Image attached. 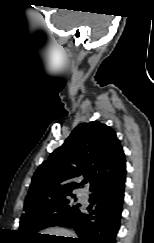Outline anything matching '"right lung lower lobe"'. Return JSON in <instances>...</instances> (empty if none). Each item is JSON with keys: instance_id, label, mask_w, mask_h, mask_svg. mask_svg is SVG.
Masks as SVG:
<instances>
[{"instance_id": "obj_1", "label": "right lung lower lobe", "mask_w": 154, "mask_h": 243, "mask_svg": "<svg viewBox=\"0 0 154 243\" xmlns=\"http://www.w3.org/2000/svg\"><path fill=\"white\" fill-rule=\"evenodd\" d=\"M125 165L91 189L90 206L63 219L58 226L73 227L79 238L67 243H115L124 200ZM93 207V209H92Z\"/></svg>"}]
</instances>
